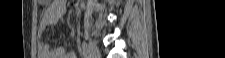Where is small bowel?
Listing matches in <instances>:
<instances>
[{
    "mask_svg": "<svg viewBox=\"0 0 225 58\" xmlns=\"http://www.w3.org/2000/svg\"><path fill=\"white\" fill-rule=\"evenodd\" d=\"M65 11L66 2L64 0L51 1L42 10L38 25V53L40 58H76L74 52L66 53L62 47L44 44L42 40L47 29L51 25L59 23Z\"/></svg>",
    "mask_w": 225,
    "mask_h": 58,
    "instance_id": "c3829d8e",
    "label": "small bowel"
}]
</instances>
